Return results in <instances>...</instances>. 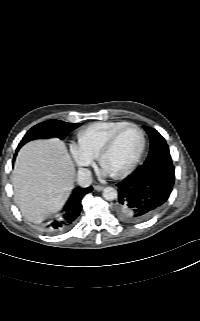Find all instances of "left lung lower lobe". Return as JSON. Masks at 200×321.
I'll return each instance as SVG.
<instances>
[{
	"instance_id": "obj_1",
	"label": "left lung lower lobe",
	"mask_w": 200,
	"mask_h": 321,
	"mask_svg": "<svg viewBox=\"0 0 200 321\" xmlns=\"http://www.w3.org/2000/svg\"><path fill=\"white\" fill-rule=\"evenodd\" d=\"M175 181L172 163L142 164L117 184L116 212L121 221L147 220L169 198Z\"/></svg>"
}]
</instances>
